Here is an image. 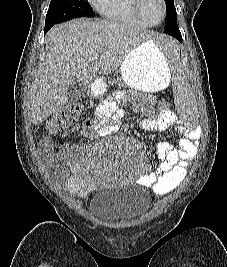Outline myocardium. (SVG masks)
<instances>
[{
    "instance_id": "1",
    "label": "myocardium",
    "mask_w": 227,
    "mask_h": 267,
    "mask_svg": "<svg viewBox=\"0 0 227 267\" xmlns=\"http://www.w3.org/2000/svg\"><path fill=\"white\" fill-rule=\"evenodd\" d=\"M160 3L162 5V17L160 19V21L156 22V23H151L149 22L145 15L143 14L142 12V8H141V5H142V0H132V7H133V10L135 12V14L146 24V25H149V26H156V25H159L160 23L163 22V20L165 19L166 17V14H167V6H166V1L165 0H160Z\"/></svg>"
}]
</instances>
